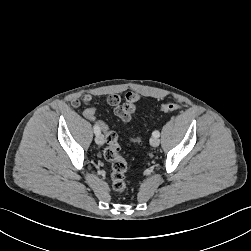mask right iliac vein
Segmentation results:
<instances>
[{"mask_svg":"<svg viewBox=\"0 0 251 251\" xmlns=\"http://www.w3.org/2000/svg\"><path fill=\"white\" fill-rule=\"evenodd\" d=\"M95 142L98 144V145H103L104 144V136L102 134H97L96 137H95Z\"/></svg>","mask_w":251,"mask_h":251,"instance_id":"obj_1","label":"right iliac vein"}]
</instances>
